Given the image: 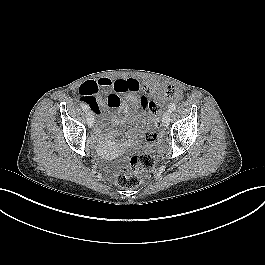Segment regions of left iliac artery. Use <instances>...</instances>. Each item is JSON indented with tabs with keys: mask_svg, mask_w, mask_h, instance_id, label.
Returning a JSON list of instances; mask_svg holds the SVG:
<instances>
[{
	"mask_svg": "<svg viewBox=\"0 0 265 265\" xmlns=\"http://www.w3.org/2000/svg\"><path fill=\"white\" fill-rule=\"evenodd\" d=\"M176 109V103H172L171 105H169L168 107V111L173 112Z\"/></svg>",
	"mask_w": 265,
	"mask_h": 265,
	"instance_id": "44dca946",
	"label": "left iliac artery"
}]
</instances>
